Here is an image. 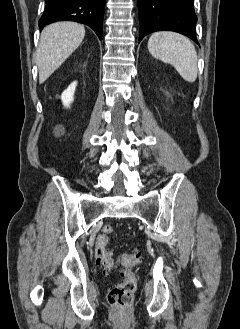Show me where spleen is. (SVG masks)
<instances>
[{
  "label": "spleen",
  "mask_w": 240,
  "mask_h": 329,
  "mask_svg": "<svg viewBox=\"0 0 240 329\" xmlns=\"http://www.w3.org/2000/svg\"><path fill=\"white\" fill-rule=\"evenodd\" d=\"M148 50L155 58L172 64L185 81L196 80L197 53L187 37L174 32H156L148 40Z\"/></svg>",
  "instance_id": "1"
}]
</instances>
